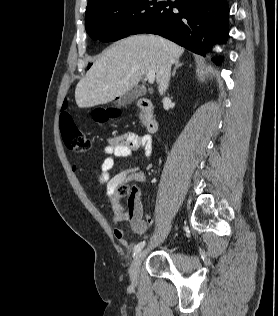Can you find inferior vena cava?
Instances as JSON below:
<instances>
[{"label":"inferior vena cava","mask_w":278,"mask_h":316,"mask_svg":"<svg viewBox=\"0 0 278 316\" xmlns=\"http://www.w3.org/2000/svg\"><path fill=\"white\" fill-rule=\"evenodd\" d=\"M172 63H173L172 59L167 60L161 69V78L159 82V92L161 95L168 88Z\"/></svg>","instance_id":"inferior-vena-cava-1"}]
</instances>
